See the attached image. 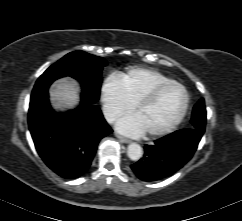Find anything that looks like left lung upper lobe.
I'll use <instances>...</instances> for the list:
<instances>
[{
	"mask_svg": "<svg viewBox=\"0 0 242 221\" xmlns=\"http://www.w3.org/2000/svg\"><path fill=\"white\" fill-rule=\"evenodd\" d=\"M206 124V109L204 99H200L193 108L190 128L204 132Z\"/></svg>",
	"mask_w": 242,
	"mask_h": 221,
	"instance_id": "left-lung-upper-lobe-1",
	"label": "left lung upper lobe"
}]
</instances>
